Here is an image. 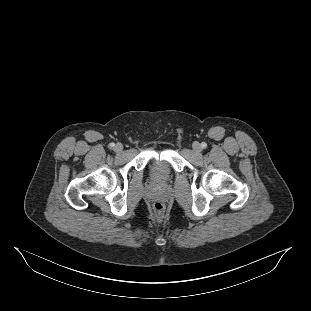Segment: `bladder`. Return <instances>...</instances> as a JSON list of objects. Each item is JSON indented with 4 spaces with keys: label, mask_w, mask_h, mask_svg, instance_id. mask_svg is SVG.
I'll use <instances>...</instances> for the list:
<instances>
[{
    "label": "bladder",
    "mask_w": 311,
    "mask_h": 311,
    "mask_svg": "<svg viewBox=\"0 0 311 311\" xmlns=\"http://www.w3.org/2000/svg\"><path fill=\"white\" fill-rule=\"evenodd\" d=\"M150 171L154 180L164 181L170 174V167L166 161L158 159L152 163Z\"/></svg>",
    "instance_id": "obj_1"
}]
</instances>
